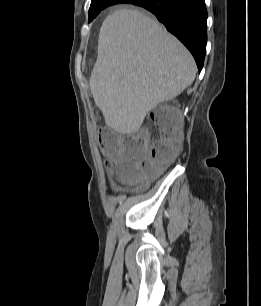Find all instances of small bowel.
I'll list each match as a JSON object with an SVG mask.
<instances>
[{"mask_svg":"<svg viewBox=\"0 0 261 306\" xmlns=\"http://www.w3.org/2000/svg\"><path fill=\"white\" fill-rule=\"evenodd\" d=\"M129 163L131 164L132 166L134 167H139V163L135 162V161H127L125 158H120V159H110L106 165H107V168L109 170V172L111 173H114V170L116 168V166H118L119 164H122V163Z\"/></svg>","mask_w":261,"mask_h":306,"instance_id":"c3829d8e","label":"small bowel"}]
</instances>
